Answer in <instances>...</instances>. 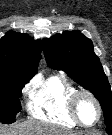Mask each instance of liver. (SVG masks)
Instances as JSON below:
<instances>
[{
  "label": "liver",
  "instance_id": "obj_1",
  "mask_svg": "<svg viewBox=\"0 0 112 135\" xmlns=\"http://www.w3.org/2000/svg\"><path fill=\"white\" fill-rule=\"evenodd\" d=\"M0 135H76L68 130L40 122L28 120L10 128L0 124Z\"/></svg>",
  "mask_w": 112,
  "mask_h": 135
}]
</instances>
